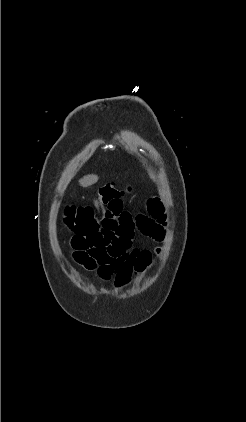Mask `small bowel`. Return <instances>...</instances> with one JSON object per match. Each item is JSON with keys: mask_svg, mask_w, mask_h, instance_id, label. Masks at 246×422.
I'll use <instances>...</instances> for the list:
<instances>
[{"mask_svg": "<svg viewBox=\"0 0 246 422\" xmlns=\"http://www.w3.org/2000/svg\"><path fill=\"white\" fill-rule=\"evenodd\" d=\"M165 215L162 204L153 199L148 215L134 218L124 210L107 208L100 225L88 234H76L71 239L72 258L87 270H94L103 281H112L117 288L127 286L134 273L140 252L133 246L135 228L155 240L163 237Z\"/></svg>", "mask_w": 246, "mask_h": 422, "instance_id": "obj_1", "label": "small bowel"}]
</instances>
